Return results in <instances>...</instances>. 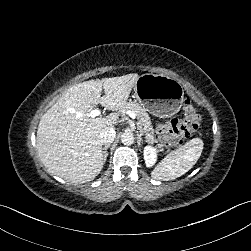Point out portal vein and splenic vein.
Here are the masks:
<instances>
[{
	"label": "portal vein and splenic vein",
	"mask_w": 251,
	"mask_h": 251,
	"mask_svg": "<svg viewBox=\"0 0 251 251\" xmlns=\"http://www.w3.org/2000/svg\"><path fill=\"white\" fill-rule=\"evenodd\" d=\"M69 111L72 112L77 118H80V117H83V116H89V117L95 119L97 116L100 115V112L97 109H92L89 112L77 111L75 109H69ZM125 113H126L127 116H129L131 118L135 117V113L130 111V110L125 111ZM115 118H116V116H111V118H108V121L111 122Z\"/></svg>",
	"instance_id": "1"
}]
</instances>
